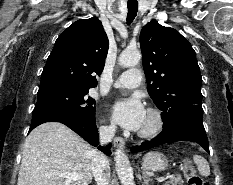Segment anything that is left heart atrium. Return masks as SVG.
I'll list each match as a JSON object with an SVG mask.
<instances>
[{"label": "left heart atrium", "mask_w": 233, "mask_h": 185, "mask_svg": "<svg viewBox=\"0 0 233 185\" xmlns=\"http://www.w3.org/2000/svg\"><path fill=\"white\" fill-rule=\"evenodd\" d=\"M111 115L121 127L137 131L144 122L146 110L139 98H122L112 104Z\"/></svg>", "instance_id": "1"}]
</instances>
